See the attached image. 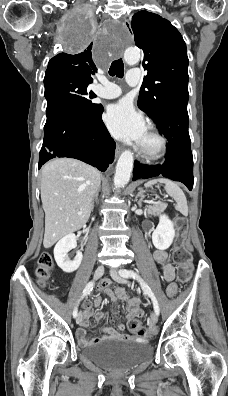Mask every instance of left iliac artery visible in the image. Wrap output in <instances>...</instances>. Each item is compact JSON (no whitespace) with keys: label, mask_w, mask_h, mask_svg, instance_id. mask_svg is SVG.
<instances>
[{"label":"left iliac artery","mask_w":228,"mask_h":396,"mask_svg":"<svg viewBox=\"0 0 228 396\" xmlns=\"http://www.w3.org/2000/svg\"><path fill=\"white\" fill-rule=\"evenodd\" d=\"M119 274L122 277H124V278L136 279L140 283L141 288L144 291V293L147 294L151 298L156 314L159 315L160 309H159V305H158L157 299L154 296V293L152 292L150 287L147 285V283H145L143 281V279L136 272H134L133 270L121 269L119 271Z\"/></svg>","instance_id":"obj_1"}]
</instances>
